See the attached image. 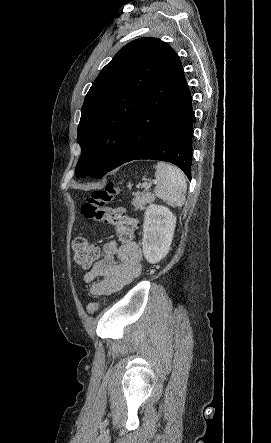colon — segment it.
I'll list each match as a JSON object with an SVG mask.
<instances>
[{"instance_id":"colon-1","label":"colon","mask_w":271,"mask_h":443,"mask_svg":"<svg viewBox=\"0 0 271 443\" xmlns=\"http://www.w3.org/2000/svg\"><path fill=\"white\" fill-rule=\"evenodd\" d=\"M117 189L113 182H109L105 188L95 190L82 206L83 215L98 224L112 226L122 242H130L137 228V221L129 217L124 209L110 208ZM74 261L78 267L88 269L99 256L96 244L89 242L83 237H77L72 243ZM99 309V303L92 301L87 306L89 314H95Z\"/></svg>"}]
</instances>
